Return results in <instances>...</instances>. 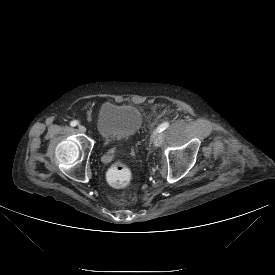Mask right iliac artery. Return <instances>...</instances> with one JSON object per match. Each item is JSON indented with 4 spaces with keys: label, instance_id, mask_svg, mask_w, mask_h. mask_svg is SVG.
<instances>
[{
    "label": "right iliac artery",
    "instance_id": "82829eb1",
    "mask_svg": "<svg viewBox=\"0 0 275 275\" xmlns=\"http://www.w3.org/2000/svg\"><path fill=\"white\" fill-rule=\"evenodd\" d=\"M78 124H79V122H78L77 120H73V121L70 122V125H71L72 127H75V126L78 125Z\"/></svg>",
    "mask_w": 275,
    "mask_h": 275
}]
</instances>
